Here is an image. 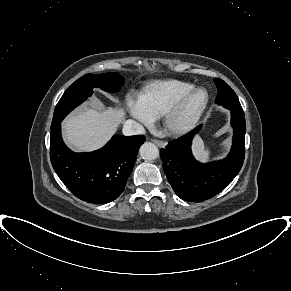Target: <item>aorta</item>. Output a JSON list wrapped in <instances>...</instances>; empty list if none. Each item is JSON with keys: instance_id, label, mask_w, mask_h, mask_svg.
Listing matches in <instances>:
<instances>
[{"instance_id": "obj_1", "label": "aorta", "mask_w": 291, "mask_h": 291, "mask_svg": "<svg viewBox=\"0 0 291 291\" xmlns=\"http://www.w3.org/2000/svg\"><path fill=\"white\" fill-rule=\"evenodd\" d=\"M140 156L145 160H155L159 157V149L151 142H145L139 149Z\"/></svg>"}]
</instances>
